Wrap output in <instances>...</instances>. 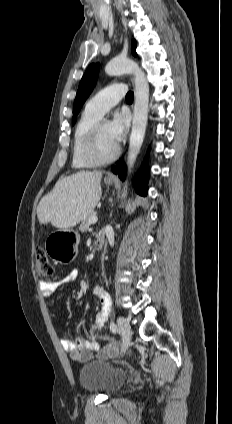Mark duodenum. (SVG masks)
<instances>
[{"label": "duodenum", "instance_id": "1", "mask_svg": "<svg viewBox=\"0 0 232 424\" xmlns=\"http://www.w3.org/2000/svg\"><path fill=\"white\" fill-rule=\"evenodd\" d=\"M105 242V235L103 233H98L96 239H95V249L100 250Z\"/></svg>", "mask_w": 232, "mask_h": 424}]
</instances>
